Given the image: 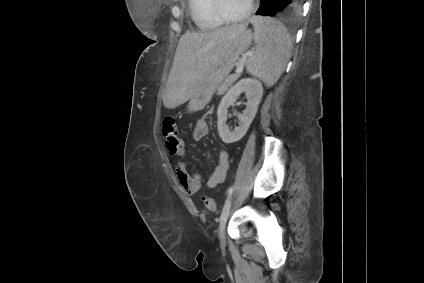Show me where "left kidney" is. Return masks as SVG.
I'll list each match as a JSON object with an SVG mask.
<instances>
[{"label": "left kidney", "mask_w": 424, "mask_h": 283, "mask_svg": "<svg viewBox=\"0 0 424 283\" xmlns=\"http://www.w3.org/2000/svg\"><path fill=\"white\" fill-rule=\"evenodd\" d=\"M245 92L247 97L246 109L242 114H238L240 121L239 126L233 131L229 130L226 124L228 117V108L235 99ZM263 95V87L261 82L252 78H245L238 81L222 98L218 110V132L224 143H233L239 141L246 134L250 124L256 116L258 106Z\"/></svg>", "instance_id": "5707ae66"}]
</instances>
